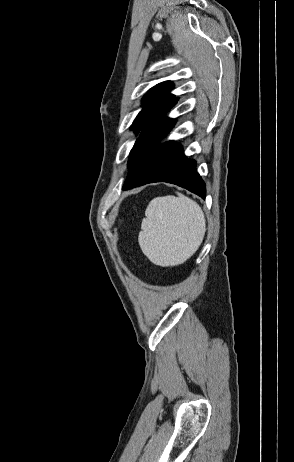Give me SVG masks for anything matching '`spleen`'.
Masks as SVG:
<instances>
[{"label": "spleen", "instance_id": "1", "mask_svg": "<svg viewBox=\"0 0 294 462\" xmlns=\"http://www.w3.org/2000/svg\"><path fill=\"white\" fill-rule=\"evenodd\" d=\"M138 242L151 262L174 266L185 262L201 245L206 222L200 206L187 196L154 198L148 205Z\"/></svg>", "mask_w": 294, "mask_h": 462}]
</instances>
